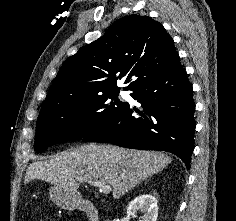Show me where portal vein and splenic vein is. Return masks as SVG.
<instances>
[{"instance_id":"1","label":"portal vein and splenic vein","mask_w":236,"mask_h":221,"mask_svg":"<svg viewBox=\"0 0 236 221\" xmlns=\"http://www.w3.org/2000/svg\"><path fill=\"white\" fill-rule=\"evenodd\" d=\"M76 180L80 181V182H88L90 185L98 187L104 194H109L111 192V190H112L110 185L103 184L101 182H97V181H93V180H88V179L83 178V177H77Z\"/></svg>"}]
</instances>
